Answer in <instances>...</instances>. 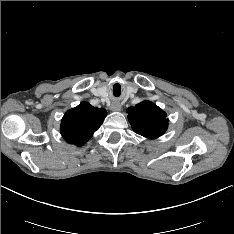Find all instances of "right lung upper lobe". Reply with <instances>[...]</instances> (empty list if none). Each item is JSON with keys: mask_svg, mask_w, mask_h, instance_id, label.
<instances>
[{"mask_svg": "<svg viewBox=\"0 0 234 234\" xmlns=\"http://www.w3.org/2000/svg\"><path fill=\"white\" fill-rule=\"evenodd\" d=\"M106 115L104 108L93 107L84 101L64 114L61 134L68 143L82 146L99 129Z\"/></svg>", "mask_w": 234, "mask_h": 234, "instance_id": "obj_1", "label": "right lung upper lobe"}]
</instances>
